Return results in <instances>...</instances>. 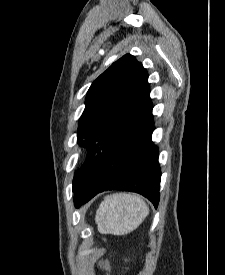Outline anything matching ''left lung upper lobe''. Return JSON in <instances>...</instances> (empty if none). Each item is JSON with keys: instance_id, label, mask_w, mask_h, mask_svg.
Masks as SVG:
<instances>
[{"instance_id": "left-lung-upper-lobe-1", "label": "left lung upper lobe", "mask_w": 225, "mask_h": 275, "mask_svg": "<svg viewBox=\"0 0 225 275\" xmlns=\"http://www.w3.org/2000/svg\"><path fill=\"white\" fill-rule=\"evenodd\" d=\"M148 73L127 54L113 63L90 86L79 120L77 143L88 156L73 180V190L96 164L151 108Z\"/></svg>"}]
</instances>
